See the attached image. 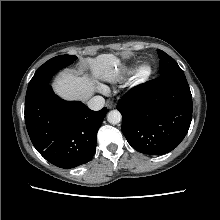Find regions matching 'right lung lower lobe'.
Segmentation results:
<instances>
[{
    "label": "right lung lower lobe",
    "instance_id": "obj_1",
    "mask_svg": "<svg viewBox=\"0 0 220 220\" xmlns=\"http://www.w3.org/2000/svg\"><path fill=\"white\" fill-rule=\"evenodd\" d=\"M106 113V108L92 111L80 101L60 99L50 85L25 101V122L34 147L47 161L66 169L92 159Z\"/></svg>",
    "mask_w": 220,
    "mask_h": 220
}]
</instances>
